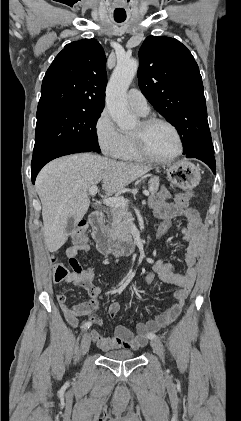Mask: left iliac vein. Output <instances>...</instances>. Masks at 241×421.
<instances>
[{
	"label": "left iliac vein",
	"instance_id": "obj_1",
	"mask_svg": "<svg viewBox=\"0 0 241 421\" xmlns=\"http://www.w3.org/2000/svg\"><path fill=\"white\" fill-rule=\"evenodd\" d=\"M151 346L154 350V352L160 357L162 362H164V348L162 342L155 338L151 341Z\"/></svg>",
	"mask_w": 241,
	"mask_h": 421
}]
</instances>
